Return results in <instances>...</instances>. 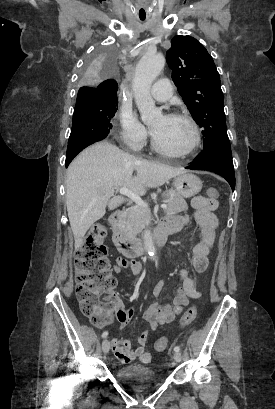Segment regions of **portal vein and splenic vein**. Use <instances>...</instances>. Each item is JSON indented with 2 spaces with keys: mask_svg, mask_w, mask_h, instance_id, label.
Returning a JSON list of instances; mask_svg holds the SVG:
<instances>
[{
  "mask_svg": "<svg viewBox=\"0 0 275 409\" xmlns=\"http://www.w3.org/2000/svg\"><path fill=\"white\" fill-rule=\"evenodd\" d=\"M119 192H121V194H126V196H129L131 200H134V202H136V205H140V207H147L141 196H139V194H135L133 190H129V188H124V186H122V188H119ZM161 209H167V205H161Z\"/></svg>",
  "mask_w": 275,
  "mask_h": 409,
  "instance_id": "1",
  "label": "portal vein and splenic vein"
}]
</instances>
